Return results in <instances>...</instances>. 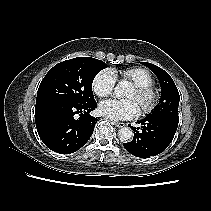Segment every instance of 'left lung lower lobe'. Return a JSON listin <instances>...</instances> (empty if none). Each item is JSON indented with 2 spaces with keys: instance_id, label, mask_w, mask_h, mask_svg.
Returning <instances> with one entry per match:
<instances>
[{
  "instance_id": "1",
  "label": "left lung lower lobe",
  "mask_w": 211,
  "mask_h": 211,
  "mask_svg": "<svg viewBox=\"0 0 211 211\" xmlns=\"http://www.w3.org/2000/svg\"><path fill=\"white\" fill-rule=\"evenodd\" d=\"M140 128L131 127L134 130V138L131 142L123 143L125 149L132 155L148 158L162 153L171 143L178 124H174L162 118L147 117L138 121Z\"/></svg>"
}]
</instances>
